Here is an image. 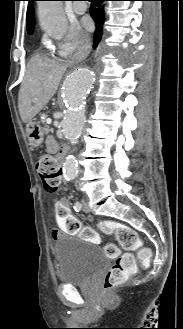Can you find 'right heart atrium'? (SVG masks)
Listing matches in <instances>:
<instances>
[{
  "label": "right heart atrium",
  "instance_id": "d8ad5b80",
  "mask_svg": "<svg viewBox=\"0 0 183 329\" xmlns=\"http://www.w3.org/2000/svg\"><path fill=\"white\" fill-rule=\"evenodd\" d=\"M90 41L86 33L78 24H72L64 38L54 41L57 51L62 56H67L76 47L89 45Z\"/></svg>",
  "mask_w": 183,
  "mask_h": 329
}]
</instances>
